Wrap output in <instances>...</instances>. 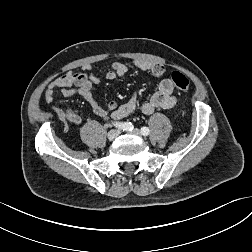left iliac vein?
Listing matches in <instances>:
<instances>
[{
    "instance_id": "4c4485c4",
    "label": "left iliac vein",
    "mask_w": 252,
    "mask_h": 252,
    "mask_svg": "<svg viewBox=\"0 0 252 252\" xmlns=\"http://www.w3.org/2000/svg\"><path fill=\"white\" fill-rule=\"evenodd\" d=\"M130 133L133 134V135H136V136H141V133H140L139 129H134Z\"/></svg>"
}]
</instances>
